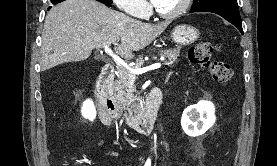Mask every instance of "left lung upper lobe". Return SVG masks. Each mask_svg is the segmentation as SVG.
<instances>
[{
    "label": "left lung upper lobe",
    "mask_w": 277,
    "mask_h": 166,
    "mask_svg": "<svg viewBox=\"0 0 277 166\" xmlns=\"http://www.w3.org/2000/svg\"><path fill=\"white\" fill-rule=\"evenodd\" d=\"M225 7L230 9H238L237 0H194L190 12L212 8Z\"/></svg>",
    "instance_id": "obj_1"
}]
</instances>
